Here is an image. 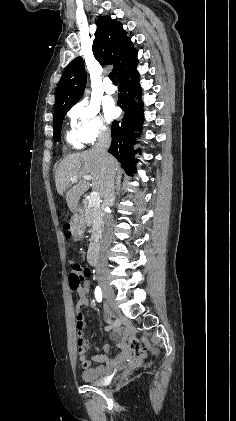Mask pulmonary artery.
<instances>
[{
    "label": "pulmonary artery",
    "mask_w": 236,
    "mask_h": 421,
    "mask_svg": "<svg viewBox=\"0 0 236 421\" xmlns=\"http://www.w3.org/2000/svg\"><path fill=\"white\" fill-rule=\"evenodd\" d=\"M104 91L107 94H114L116 93V87L112 83H106L103 86Z\"/></svg>",
    "instance_id": "obj_1"
}]
</instances>
